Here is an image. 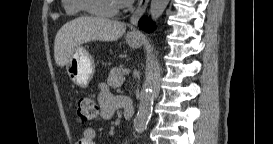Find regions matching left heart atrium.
Wrapping results in <instances>:
<instances>
[{"instance_id":"obj_1","label":"left heart atrium","mask_w":273,"mask_h":144,"mask_svg":"<svg viewBox=\"0 0 273 144\" xmlns=\"http://www.w3.org/2000/svg\"><path fill=\"white\" fill-rule=\"evenodd\" d=\"M116 5L119 7H124L132 3L133 0H114Z\"/></svg>"}]
</instances>
